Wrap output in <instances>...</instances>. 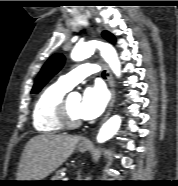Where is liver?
<instances>
[{
  "label": "liver",
  "mask_w": 178,
  "mask_h": 186,
  "mask_svg": "<svg viewBox=\"0 0 178 186\" xmlns=\"http://www.w3.org/2000/svg\"><path fill=\"white\" fill-rule=\"evenodd\" d=\"M79 136L41 134L31 138L22 153L17 179L38 181L60 167L74 152Z\"/></svg>",
  "instance_id": "1"
}]
</instances>
